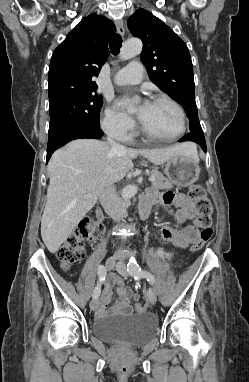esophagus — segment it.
<instances>
[{
  "label": "esophagus",
  "instance_id": "1",
  "mask_svg": "<svg viewBox=\"0 0 249 382\" xmlns=\"http://www.w3.org/2000/svg\"><path fill=\"white\" fill-rule=\"evenodd\" d=\"M115 25H116V29H117L118 33L123 36L125 34V28L123 25V21L122 20H116Z\"/></svg>",
  "mask_w": 249,
  "mask_h": 382
}]
</instances>
